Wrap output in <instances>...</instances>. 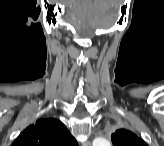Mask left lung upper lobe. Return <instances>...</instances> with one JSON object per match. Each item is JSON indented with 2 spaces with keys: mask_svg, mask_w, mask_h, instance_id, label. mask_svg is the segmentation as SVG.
<instances>
[{
  "mask_svg": "<svg viewBox=\"0 0 164 146\" xmlns=\"http://www.w3.org/2000/svg\"><path fill=\"white\" fill-rule=\"evenodd\" d=\"M114 146H146L145 142L133 132L125 129L116 130L111 135Z\"/></svg>",
  "mask_w": 164,
  "mask_h": 146,
  "instance_id": "5c2ea615",
  "label": "left lung upper lobe"
}]
</instances>
